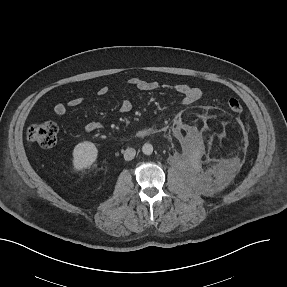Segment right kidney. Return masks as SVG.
<instances>
[{
    "instance_id": "1",
    "label": "right kidney",
    "mask_w": 287,
    "mask_h": 287,
    "mask_svg": "<svg viewBox=\"0 0 287 287\" xmlns=\"http://www.w3.org/2000/svg\"><path fill=\"white\" fill-rule=\"evenodd\" d=\"M73 166L76 170L90 167L97 159L98 150L94 143L84 141L78 143L73 150Z\"/></svg>"
}]
</instances>
